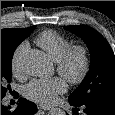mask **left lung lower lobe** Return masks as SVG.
<instances>
[{
    "instance_id": "left-lung-lower-lobe-1",
    "label": "left lung lower lobe",
    "mask_w": 115,
    "mask_h": 115,
    "mask_svg": "<svg viewBox=\"0 0 115 115\" xmlns=\"http://www.w3.org/2000/svg\"><path fill=\"white\" fill-rule=\"evenodd\" d=\"M69 103L74 106L73 112L75 115H78L79 108L82 107L84 112L87 115H115V107L108 106L105 104H84V105H76L73 102L69 101Z\"/></svg>"
}]
</instances>
